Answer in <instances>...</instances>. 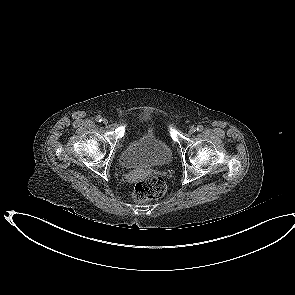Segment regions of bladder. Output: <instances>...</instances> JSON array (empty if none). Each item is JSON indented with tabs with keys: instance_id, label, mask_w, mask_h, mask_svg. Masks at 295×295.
Segmentation results:
<instances>
[{
	"instance_id": "1",
	"label": "bladder",
	"mask_w": 295,
	"mask_h": 295,
	"mask_svg": "<svg viewBox=\"0 0 295 295\" xmlns=\"http://www.w3.org/2000/svg\"><path fill=\"white\" fill-rule=\"evenodd\" d=\"M119 158L125 168H149L169 164L173 153L164 140L154 133H146L125 146Z\"/></svg>"
}]
</instances>
